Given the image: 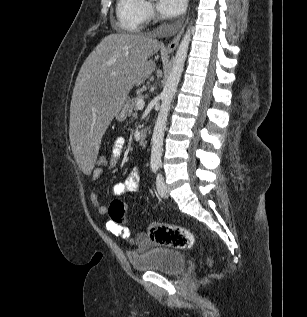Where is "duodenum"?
I'll list each match as a JSON object with an SVG mask.
<instances>
[{
    "label": "duodenum",
    "instance_id": "410a0bca",
    "mask_svg": "<svg viewBox=\"0 0 307 317\" xmlns=\"http://www.w3.org/2000/svg\"><path fill=\"white\" fill-rule=\"evenodd\" d=\"M138 139L141 143H143L146 139V132L145 131H140L138 135Z\"/></svg>",
    "mask_w": 307,
    "mask_h": 317
}]
</instances>
